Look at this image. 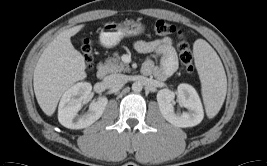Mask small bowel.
I'll return each instance as SVG.
<instances>
[{
    "mask_svg": "<svg viewBox=\"0 0 267 166\" xmlns=\"http://www.w3.org/2000/svg\"><path fill=\"white\" fill-rule=\"evenodd\" d=\"M137 52L147 54L154 53L160 57V63L156 64L152 59H148L142 66V72L145 75H154L160 81L170 78L178 68L177 51L172 39L168 37L134 43Z\"/></svg>",
    "mask_w": 267,
    "mask_h": 166,
    "instance_id": "c3829d8e",
    "label": "small bowel"
}]
</instances>
